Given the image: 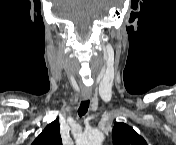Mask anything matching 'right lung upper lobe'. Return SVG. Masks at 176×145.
<instances>
[{
  "label": "right lung upper lobe",
  "mask_w": 176,
  "mask_h": 145,
  "mask_svg": "<svg viewBox=\"0 0 176 145\" xmlns=\"http://www.w3.org/2000/svg\"><path fill=\"white\" fill-rule=\"evenodd\" d=\"M32 145H62L59 119L46 126L42 133L34 140Z\"/></svg>",
  "instance_id": "right-lung-upper-lobe-1"
}]
</instances>
